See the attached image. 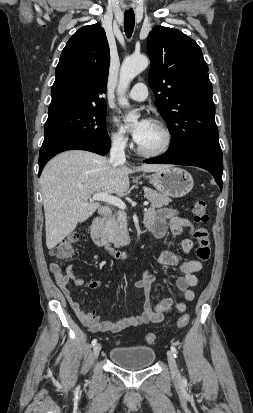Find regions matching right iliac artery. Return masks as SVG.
<instances>
[{
	"label": "right iliac artery",
	"mask_w": 253,
	"mask_h": 413,
	"mask_svg": "<svg viewBox=\"0 0 253 413\" xmlns=\"http://www.w3.org/2000/svg\"><path fill=\"white\" fill-rule=\"evenodd\" d=\"M96 342H97V339H93L92 340V345L94 346L96 344Z\"/></svg>",
	"instance_id": "82829eb1"
}]
</instances>
